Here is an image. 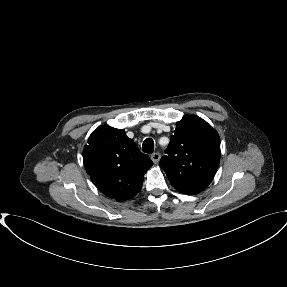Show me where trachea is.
I'll return each mask as SVG.
<instances>
[{
	"instance_id": "1",
	"label": "trachea",
	"mask_w": 287,
	"mask_h": 287,
	"mask_svg": "<svg viewBox=\"0 0 287 287\" xmlns=\"http://www.w3.org/2000/svg\"><path fill=\"white\" fill-rule=\"evenodd\" d=\"M142 150L145 153H152L154 151V141L151 138L145 139L142 144Z\"/></svg>"
}]
</instances>
